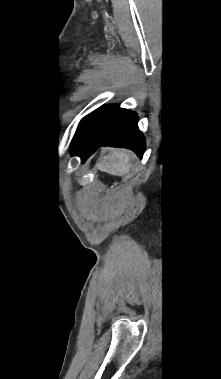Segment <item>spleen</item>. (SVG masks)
Segmentation results:
<instances>
[{
  "mask_svg": "<svg viewBox=\"0 0 221 379\" xmlns=\"http://www.w3.org/2000/svg\"><path fill=\"white\" fill-rule=\"evenodd\" d=\"M98 168L111 175L123 176L130 172L132 167L131 154L124 149L111 150L97 165Z\"/></svg>",
  "mask_w": 221,
  "mask_h": 379,
  "instance_id": "1",
  "label": "spleen"
}]
</instances>
